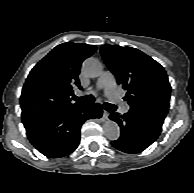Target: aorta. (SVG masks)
<instances>
[{"label":"aorta","instance_id":"aorta-1","mask_svg":"<svg viewBox=\"0 0 194 193\" xmlns=\"http://www.w3.org/2000/svg\"><path fill=\"white\" fill-rule=\"evenodd\" d=\"M83 73L89 78H96L102 73V65L95 58H88L82 65ZM103 131L109 140H117L120 137V128L118 124L112 120H107L103 124Z\"/></svg>","mask_w":194,"mask_h":193}]
</instances>
